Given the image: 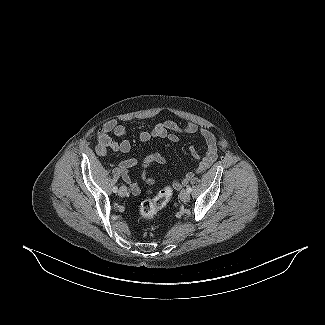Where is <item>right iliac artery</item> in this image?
I'll return each instance as SVG.
<instances>
[{
  "mask_svg": "<svg viewBox=\"0 0 325 325\" xmlns=\"http://www.w3.org/2000/svg\"><path fill=\"white\" fill-rule=\"evenodd\" d=\"M112 190H113L114 193H116L118 191V188L115 186V187H113Z\"/></svg>",
  "mask_w": 325,
  "mask_h": 325,
  "instance_id": "right-iliac-artery-1",
  "label": "right iliac artery"
}]
</instances>
